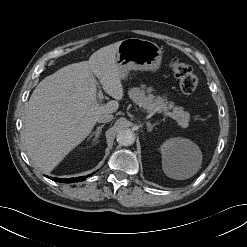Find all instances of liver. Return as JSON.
Masks as SVG:
<instances>
[{"label":"liver","instance_id":"obj_1","mask_svg":"<svg viewBox=\"0 0 247 247\" xmlns=\"http://www.w3.org/2000/svg\"><path fill=\"white\" fill-rule=\"evenodd\" d=\"M120 42L100 48L88 61L70 64L44 78L30 96L24 139L32 162L51 172L92 131L100 114L118 110L123 97L116 54ZM115 100L100 104L96 79Z\"/></svg>","mask_w":247,"mask_h":247}]
</instances>
